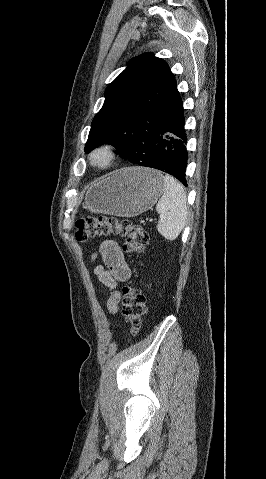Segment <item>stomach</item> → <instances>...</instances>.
<instances>
[{
	"label": "stomach",
	"mask_w": 266,
	"mask_h": 479,
	"mask_svg": "<svg viewBox=\"0 0 266 479\" xmlns=\"http://www.w3.org/2000/svg\"><path fill=\"white\" fill-rule=\"evenodd\" d=\"M164 190V177L156 170L128 167L91 186L85 208L94 213L134 217L154 206Z\"/></svg>",
	"instance_id": "stomach-1"
}]
</instances>
